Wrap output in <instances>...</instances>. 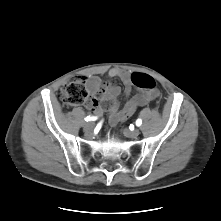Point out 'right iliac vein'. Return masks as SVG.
<instances>
[{
	"label": "right iliac vein",
	"mask_w": 221,
	"mask_h": 221,
	"mask_svg": "<svg viewBox=\"0 0 221 221\" xmlns=\"http://www.w3.org/2000/svg\"><path fill=\"white\" fill-rule=\"evenodd\" d=\"M83 128H84L85 132L90 133L94 129V123L88 122V123L84 124Z\"/></svg>",
	"instance_id": "1"
}]
</instances>
